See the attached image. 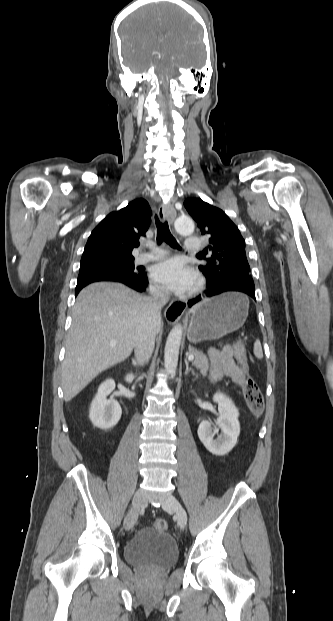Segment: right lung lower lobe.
Returning a JSON list of instances; mask_svg holds the SVG:
<instances>
[{
  "label": "right lung lower lobe",
  "instance_id": "obj_1",
  "mask_svg": "<svg viewBox=\"0 0 333 621\" xmlns=\"http://www.w3.org/2000/svg\"><path fill=\"white\" fill-rule=\"evenodd\" d=\"M99 281L120 282L138 292L145 291V288L148 285L146 273H118L107 270H90L79 272L75 295L77 296L80 290L86 285Z\"/></svg>",
  "mask_w": 333,
  "mask_h": 621
}]
</instances>
